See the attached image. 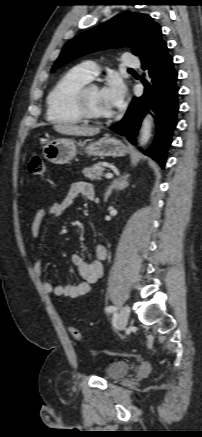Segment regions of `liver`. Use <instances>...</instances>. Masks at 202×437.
I'll return each instance as SVG.
<instances>
[{"label":"liver","mask_w":202,"mask_h":437,"mask_svg":"<svg viewBox=\"0 0 202 437\" xmlns=\"http://www.w3.org/2000/svg\"><path fill=\"white\" fill-rule=\"evenodd\" d=\"M54 130L64 135L74 136H93L100 132V128L77 126L70 124H56L53 126Z\"/></svg>","instance_id":"obj_1"}]
</instances>
